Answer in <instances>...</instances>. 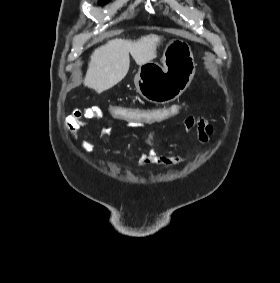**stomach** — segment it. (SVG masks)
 Returning <instances> with one entry per match:
<instances>
[{"mask_svg": "<svg viewBox=\"0 0 280 283\" xmlns=\"http://www.w3.org/2000/svg\"><path fill=\"white\" fill-rule=\"evenodd\" d=\"M161 63L140 65L134 83L145 100L163 104L178 98L188 88L196 64L190 45L178 38L166 44Z\"/></svg>", "mask_w": 280, "mask_h": 283, "instance_id": "obj_1", "label": "stomach"}]
</instances>
